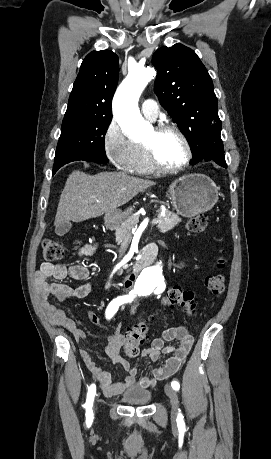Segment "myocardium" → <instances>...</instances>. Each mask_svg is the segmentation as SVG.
Returning <instances> with one entry per match:
<instances>
[{
  "label": "myocardium",
  "instance_id": "obj_1",
  "mask_svg": "<svg viewBox=\"0 0 271 459\" xmlns=\"http://www.w3.org/2000/svg\"><path fill=\"white\" fill-rule=\"evenodd\" d=\"M168 131L177 133L183 140L185 147H186V157L184 158L183 161L176 163V164H167L162 161V159L158 155L156 148L153 145L146 143V142L144 143V145L147 149L148 155L152 163L157 169L164 171V172H175V171L183 170L184 168L188 167L191 164L194 158V151H193L192 144L187 134L182 130L181 127H179L175 123H171V122L161 123L154 128V132L157 136H161L162 134Z\"/></svg>",
  "mask_w": 271,
  "mask_h": 459
}]
</instances>
